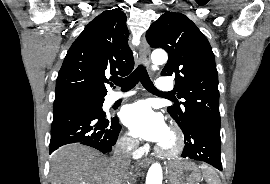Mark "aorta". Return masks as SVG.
Listing matches in <instances>:
<instances>
[{"label": "aorta", "mask_w": 270, "mask_h": 184, "mask_svg": "<svg viewBox=\"0 0 270 184\" xmlns=\"http://www.w3.org/2000/svg\"><path fill=\"white\" fill-rule=\"evenodd\" d=\"M168 56L165 51H154L151 55L152 69L166 63ZM163 172L159 163H153L147 173L146 184H162Z\"/></svg>", "instance_id": "1"}]
</instances>
